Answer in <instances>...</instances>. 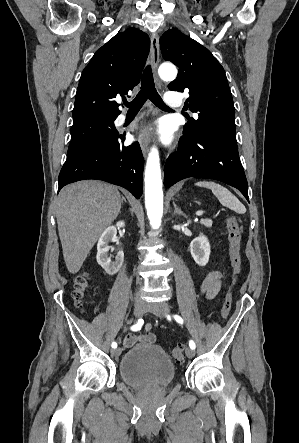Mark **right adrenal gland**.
<instances>
[{"instance_id": "right-adrenal-gland-1", "label": "right adrenal gland", "mask_w": 299, "mask_h": 443, "mask_svg": "<svg viewBox=\"0 0 299 443\" xmlns=\"http://www.w3.org/2000/svg\"><path fill=\"white\" fill-rule=\"evenodd\" d=\"M123 201L126 202V199L122 196V203H123Z\"/></svg>"}]
</instances>
